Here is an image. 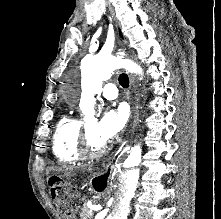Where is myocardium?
I'll return each mask as SVG.
<instances>
[{"mask_svg": "<svg viewBox=\"0 0 221 219\" xmlns=\"http://www.w3.org/2000/svg\"><path fill=\"white\" fill-rule=\"evenodd\" d=\"M109 149L107 142H103L101 145L95 147L92 145L89 136V129L87 125L83 127L80 136L79 153L83 158L92 159L104 155Z\"/></svg>", "mask_w": 221, "mask_h": 219, "instance_id": "myocardium-1", "label": "myocardium"}]
</instances>
